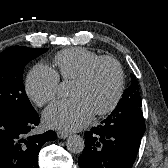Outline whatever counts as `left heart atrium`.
<instances>
[{
  "label": "left heart atrium",
  "instance_id": "39dd6f15",
  "mask_svg": "<svg viewBox=\"0 0 168 168\" xmlns=\"http://www.w3.org/2000/svg\"><path fill=\"white\" fill-rule=\"evenodd\" d=\"M93 111L81 97L58 101L48 107L44 113L47 126L62 130H79L88 125Z\"/></svg>",
  "mask_w": 168,
  "mask_h": 168
}]
</instances>
